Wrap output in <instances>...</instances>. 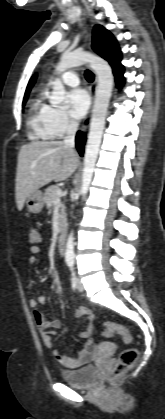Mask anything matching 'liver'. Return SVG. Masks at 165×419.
I'll return each instance as SVG.
<instances>
[{"label": "liver", "instance_id": "obj_1", "mask_svg": "<svg viewBox=\"0 0 165 419\" xmlns=\"http://www.w3.org/2000/svg\"><path fill=\"white\" fill-rule=\"evenodd\" d=\"M73 148L63 141H37L23 145L19 151L15 196L17 208L23 209L26 198L51 181H64L78 168Z\"/></svg>", "mask_w": 165, "mask_h": 419}]
</instances>
